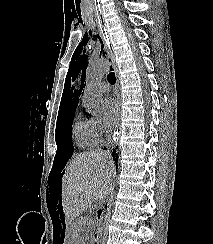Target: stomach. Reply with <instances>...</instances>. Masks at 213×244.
<instances>
[{
	"mask_svg": "<svg viewBox=\"0 0 213 244\" xmlns=\"http://www.w3.org/2000/svg\"><path fill=\"white\" fill-rule=\"evenodd\" d=\"M79 221H70V223H65V228H67L66 239L63 240L64 244H73V239L80 238V229H78Z\"/></svg>",
	"mask_w": 213,
	"mask_h": 244,
	"instance_id": "1",
	"label": "stomach"
}]
</instances>
